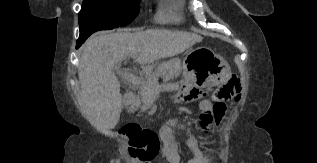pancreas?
Returning a JSON list of instances; mask_svg holds the SVG:
<instances>
[{
    "label": "pancreas",
    "mask_w": 317,
    "mask_h": 163,
    "mask_svg": "<svg viewBox=\"0 0 317 163\" xmlns=\"http://www.w3.org/2000/svg\"><path fill=\"white\" fill-rule=\"evenodd\" d=\"M181 71V60L178 58L163 63H157L150 67L145 76V82L139 87V96L141 100L137 101V106L140 107L141 110L148 109L162 91V85L158 82L159 78L161 77L164 82H167L177 78L181 74Z\"/></svg>",
    "instance_id": "pancreas-1"
}]
</instances>
